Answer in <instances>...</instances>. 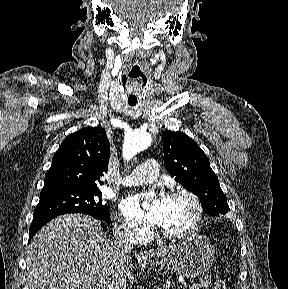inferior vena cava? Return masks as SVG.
Segmentation results:
<instances>
[{
  "mask_svg": "<svg viewBox=\"0 0 288 289\" xmlns=\"http://www.w3.org/2000/svg\"><path fill=\"white\" fill-rule=\"evenodd\" d=\"M113 244H114V252L119 257H125L133 249V238L131 235V231L127 229L124 231L119 230L118 232H116L114 235ZM113 288L114 287L112 284H110V282L105 283L102 286V289H113Z\"/></svg>",
  "mask_w": 288,
  "mask_h": 289,
  "instance_id": "obj_1",
  "label": "inferior vena cava"
}]
</instances>
